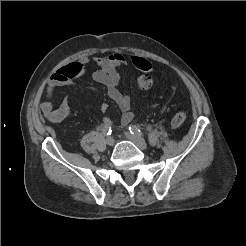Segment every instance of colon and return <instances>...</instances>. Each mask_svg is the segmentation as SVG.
<instances>
[{"label": "colon", "mask_w": 246, "mask_h": 246, "mask_svg": "<svg viewBox=\"0 0 246 246\" xmlns=\"http://www.w3.org/2000/svg\"><path fill=\"white\" fill-rule=\"evenodd\" d=\"M132 63L138 70L143 72L137 78V81H136L137 86L142 90L150 89L153 85V79L150 74L152 70L151 63L147 59L142 58V57H137V56L132 57ZM186 118H187V114L185 111H178L173 115L171 119V124L174 127H179L183 125Z\"/></svg>", "instance_id": "obj_1"}]
</instances>
